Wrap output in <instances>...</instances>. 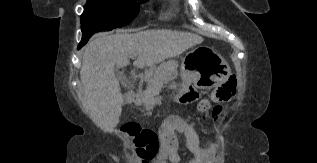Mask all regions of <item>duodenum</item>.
I'll return each instance as SVG.
<instances>
[{
    "instance_id": "duodenum-1",
    "label": "duodenum",
    "mask_w": 317,
    "mask_h": 163,
    "mask_svg": "<svg viewBox=\"0 0 317 163\" xmlns=\"http://www.w3.org/2000/svg\"><path fill=\"white\" fill-rule=\"evenodd\" d=\"M137 93L135 90H129L126 92V100L132 102L136 99Z\"/></svg>"
}]
</instances>
